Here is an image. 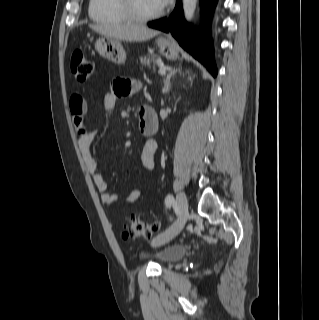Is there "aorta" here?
<instances>
[{
  "instance_id": "762f6f07",
  "label": "aorta",
  "mask_w": 319,
  "mask_h": 320,
  "mask_svg": "<svg viewBox=\"0 0 319 320\" xmlns=\"http://www.w3.org/2000/svg\"><path fill=\"white\" fill-rule=\"evenodd\" d=\"M197 0H183L184 16L187 21H191L194 17Z\"/></svg>"
}]
</instances>
